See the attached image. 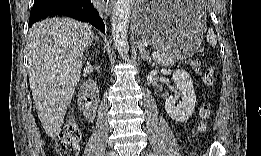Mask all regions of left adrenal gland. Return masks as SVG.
Returning <instances> with one entry per match:
<instances>
[{
  "label": "left adrenal gland",
  "instance_id": "a2214340",
  "mask_svg": "<svg viewBox=\"0 0 261 156\" xmlns=\"http://www.w3.org/2000/svg\"><path fill=\"white\" fill-rule=\"evenodd\" d=\"M137 47L139 49V54L141 56V58L145 59L146 61L148 62H151V56H150V53L148 51H146L143 43L141 41H137ZM154 65V63H153Z\"/></svg>",
  "mask_w": 261,
  "mask_h": 156
}]
</instances>
